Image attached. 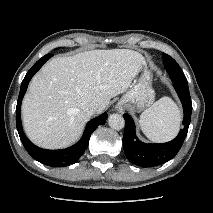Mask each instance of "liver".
Returning a JSON list of instances; mask_svg holds the SVG:
<instances>
[{
	"mask_svg": "<svg viewBox=\"0 0 213 213\" xmlns=\"http://www.w3.org/2000/svg\"><path fill=\"white\" fill-rule=\"evenodd\" d=\"M144 65L141 54L127 49L52 59L33 77L22 103L28 138L47 149L74 143L91 117L87 106L97 103L102 112L111 98L128 90Z\"/></svg>",
	"mask_w": 213,
	"mask_h": 213,
	"instance_id": "6515ba94",
	"label": "liver"
}]
</instances>
